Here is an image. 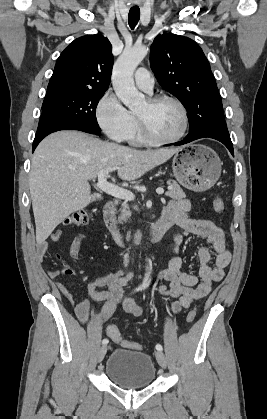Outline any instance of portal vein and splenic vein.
Segmentation results:
<instances>
[{
  "label": "portal vein and splenic vein",
  "mask_w": 267,
  "mask_h": 419,
  "mask_svg": "<svg viewBox=\"0 0 267 419\" xmlns=\"http://www.w3.org/2000/svg\"><path fill=\"white\" fill-rule=\"evenodd\" d=\"M115 169L116 168H106L104 170H101L98 173L97 187L100 188L105 193H107V194H109V195H111L115 198L124 199L126 201L134 200L135 195L131 191H129L127 189L120 188V187H118L114 184H111L107 181V179H106L107 175ZM156 193L159 194V195H162L164 193V189L163 188H158L156 190Z\"/></svg>",
  "instance_id": "obj_1"
}]
</instances>
